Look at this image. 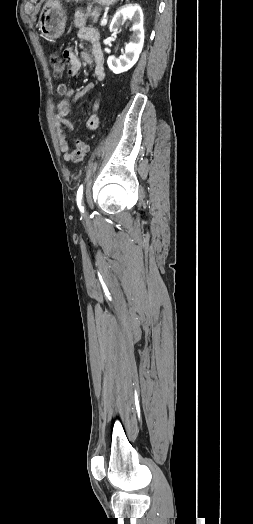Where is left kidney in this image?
Segmentation results:
<instances>
[{
	"instance_id": "1",
	"label": "left kidney",
	"mask_w": 253,
	"mask_h": 524,
	"mask_svg": "<svg viewBox=\"0 0 253 524\" xmlns=\"http://www.w3.org/2000/svg\"><path fill=\"white\" fill-rule=\"evenodd\" d=\"M132 23L133 35L131 41L125 46V52L119 58L110 56L107 64L110 70L119 74L128 71L138 61L144 44L143 12L138 4H129L122 7L114 15L110 24V31L118 33L120 27L126 22Z\"/></svg>"
}]
</instances>
